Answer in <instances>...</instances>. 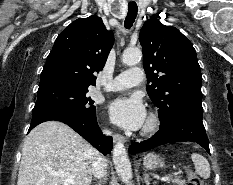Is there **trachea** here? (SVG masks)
Segmentation results:
<instances>
[{
	"label": "trachea",
	"mask_w": 233,
	"mask_h": 185,
	"mask_svg": "<svg viewBox=\"0 0 233 185\" xmlns=\"http://www.w3.org/2000/svg\"><path fill=\"white\" fill-rule=\"evenodd\" d=\"M138 12V7L136 3H129L128 4V13L126 19L124 21V25L126 29H130L136 19Z\"/></svg>",
	"instance_id": "obj_1"
}]
</instances>
